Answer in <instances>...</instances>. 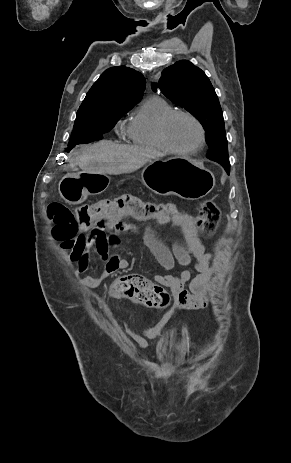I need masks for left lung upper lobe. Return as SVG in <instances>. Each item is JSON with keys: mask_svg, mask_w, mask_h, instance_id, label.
Here are the masks:
<instances>
[{"mask_svg": "<svg viewBox=\"0 0 291 463\" xmlns=\"http://www.w3.org/2000/svg\"><path fill=\"white\" fill-rule=\"evenodd\" d=\"M152 87L200 121L206 130L210 160L229 163L222 109L210 80L200 68L187 60L178 61L164 69Z\"/></svg>", "mask_w": 291, "mask_h": 463, "instance_id": "5c2ea615", "label": "left lung upper lobe"}]
</instances>
